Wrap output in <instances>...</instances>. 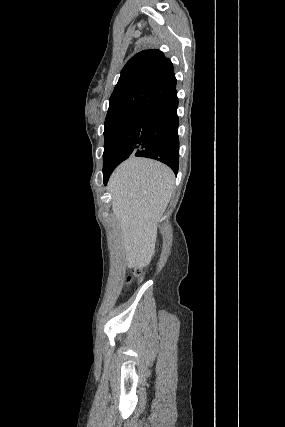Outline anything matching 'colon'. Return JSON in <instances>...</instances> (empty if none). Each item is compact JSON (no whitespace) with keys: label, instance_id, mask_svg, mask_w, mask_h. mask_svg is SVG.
I'll list each match as a JSON object with an SVG mask.
<instances>
[{"label":"colon","instance_id":"colon-1","mask_svg":"<svg viewBox=\"0 0 285 427\" xmlns=\"http://www.w3.org/2000/svg\"><path fill=\"white\" fill-rule=\"evenodd\" d=\"M145 266V262H139L134 264L132 267V274L127 278V282L131 283L134 279H139L142 275Z\"/></svg>","mask_w":285,"mask_h":427}]
</instances>
